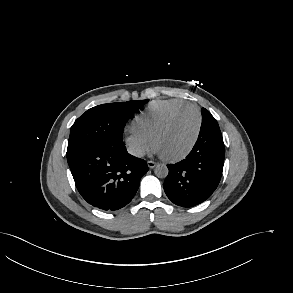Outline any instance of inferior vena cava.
<instances>
[{
  "label": "inferior vena cava",
  "mask_w": 293,
  "mask_h": 293,
  "mask_svg": "<svg viewBox=\"0 0 293 293\" xmlns=\"http://www.w3.org/2000/svg\"><path fill=\"white\" fill-rule=\"evenodd\" d=\"M128 152L136 157H143L145 155V151L143 148L141 147H137V146H130L128 148Z\"/></svg>",
  "instance_id": "inferior-vena-cava-1"
}]
</instances>
